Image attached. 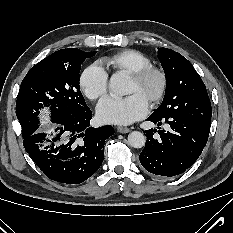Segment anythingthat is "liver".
Returning a JSON list of instances; mask_svg holds the SVG:
<instances>
[{
  "label": "liver",
  "instance_id": "obj_1",
  "mask_svg": "<svg viewBox=\"0 0 233 233\" xmlns=\"http://www.w3.org/2000/svg\"><path fill=\"white\" fill-rule=\"evenodd\" d=\"M49 128H51V125H49V124H46V125L44 126V129H49Z\"/></svg>",
  "mask_w": 233,
  "mask_h": 233
}]
</instances>
